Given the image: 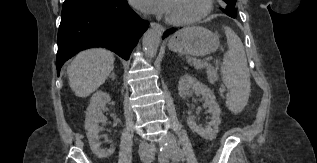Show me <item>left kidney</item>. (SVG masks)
<instances>
[{
  "label": "left kidney",
  "instance_id": "5707ae66",
  "mask_svg": "<svg viewBox=\"0 0 317 163\" xmlns=\"http://www.w3.org/2000/svg\"><path fill=\"white\" fill-rule=\"evenodd\" d=\"M178 91L181 98H185L191 92L202 95V98L205 101L204 106L208 108V112L212 115V121L210 125L205 129L201 128L197 125L193 116L187 117V124L192 131L199 134L202 138L206 140H212L218 133L219 125L221 123V110L218 103L216 102L213 92L198 79L188 74L180 77Z\"/></svg>",
  "mask_w": 317,
  "mask_h": 163
}]
</instances>
